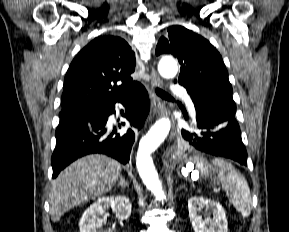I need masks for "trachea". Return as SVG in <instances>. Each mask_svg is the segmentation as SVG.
Listing matches in <instances>:
<instances>
[{
	"instance_id": "trachea-1",
	"label": "trachea",
	"mask_w": 289,
	"mask_h": 232,
	"mask_svg": "<svg viewBox=\"0 0 289 232\" xmlns=\"http://www.w3.org/2000/svg\"><path fill=\"white\" fill-rule=\"evenodd\" d=\"M155 91H156V94L162 98H171V96L168 93L164 92L163 90L159 88H156Z\"/></svg>"
}]
</instances>
